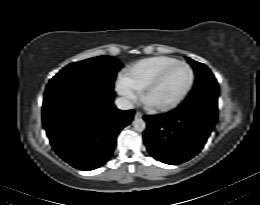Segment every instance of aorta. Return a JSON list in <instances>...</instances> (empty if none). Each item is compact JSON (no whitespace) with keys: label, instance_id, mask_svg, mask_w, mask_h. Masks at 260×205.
<instances>
[{"label":"aorta","instance_id":"obj_1","mask_svg":"<svg viewBox=\"0 0 260 205\" xmlns=\"http://www.w3.org/2000/svg\"><path fill=\"white\" fill-rule=\"evenodd\" d=\"M133 126H134V130L137 132H143L146 128V123L143 119L141 118H136L133 121Z\"/></svg>","mask_w":260,"mask_h":205}]
</instances>
